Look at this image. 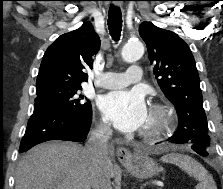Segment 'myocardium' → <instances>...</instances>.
<instances>
[{"label":"myocardium","instance_id":"f54148a6","mask_svg":"<svg viewBox=\"0 0 223 189\" xmlns=\"http://www.w3.org/2000/svg\"><path fill=\"white\" fill-rule=\"evenodd\" d=\"M151 122L141 130V135L146 139L159 137L172 130L176 123L173 108L166 102H152L149 108Z\"/></svg>","mask_w":223,"mask_h":189}]
</instances>
